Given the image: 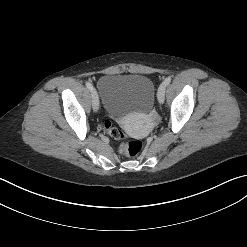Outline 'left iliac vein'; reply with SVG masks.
Returning <instances> with one entry per match:
<instances>
[{
    "label": "left iliac vein",
    "mask_w": 247,
    "mask_h": 247,
    "mask_svg": "<svg viewBox=\"0 0 247 247\" xmlns=\"http://www.w3.org/2000/svg\"><path fill=\"white\" fill-rule=\"evenodd\" d=\"M165 84L162 83L159 88H158V92H157V98H158V102L160 104H162L164 102V98H165Z\"/></svg>",
    "instance_id": "4c4485c4"
}]
</instances>
